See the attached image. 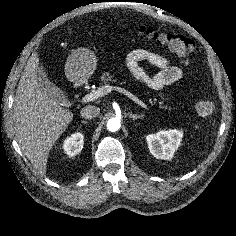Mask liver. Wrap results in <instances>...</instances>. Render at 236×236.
I'll return each mask as SVG.
<instances>
[{
  "label": "liver",
  "mask_w": 236,
  "mask_h": 236,
  "mask_svg": "<svg viewBox=\"0 0 236 236\" xmlns=\"http://www.w3.org/2000/svg\"><path fill=\"white\" fill-rule=\"evenodd\" d=\"M37 53L27 61L14 98L15 137L39 175L47 171L52 146L73 120V113L42 92L35 77Z\"/></svg>",
  "instance_id": "6515ba94"
}]
</instances>
